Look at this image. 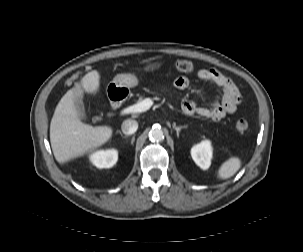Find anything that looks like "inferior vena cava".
<instances>
[{"mask_svg":"<svg viewBox=\"0 0 303 252\" xmlns=\"http://www.w3.org/2000/svg\"><path fill=\"white\" fill-rule=\"evenodd\" d=\"M121 129L125 135H132L138 129V123L135 120L127 119L122 123Z\"/></svg>","mask_w":303,"mask_h":252,"instance_id":"inferior-vena-cava-1","label":"inferior vena cava"}]
</instances>
